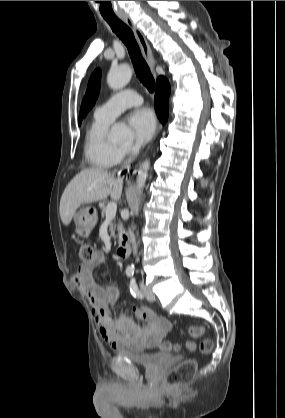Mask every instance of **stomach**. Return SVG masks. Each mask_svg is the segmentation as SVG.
Instances as JSON below:
<instances>
[{"mask_svg":"<svg viewBox=\"0 0 285 418\" xmlns=\"http://www.w3.org/2000/svg\"><path fill=\"white\" fill-rule=\"evenodd\" d=\"M97 220L98 217L94 208L88 207L76 213L74 221L77 235L81 238H87Z\"/></svg>","mask_w":285,"mask_h":418,"instance_id":"stomach-1","label":"stomach"}]
</instances>
